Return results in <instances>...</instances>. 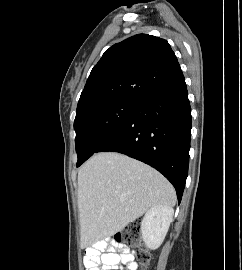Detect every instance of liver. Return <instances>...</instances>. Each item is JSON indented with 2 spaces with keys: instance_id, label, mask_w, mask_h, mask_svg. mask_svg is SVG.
<instances>
[{
  "instance_id": "liver-1",
  "label": "liver",
  "mask_w": 242,
  "mask_h": 270,
  "mask_svg": "<svg viewBox=\"0 0 242 270\" xmlns=\"http://www.w3.org/2000/svg\"><path fill=\"white\" fill-rule=\"evenodd\" d=\"M175 203L173 186L155 169L123 154H95L78 171L81 246L113 236L156 205Z\"/></svg>"
}]
</instances>
